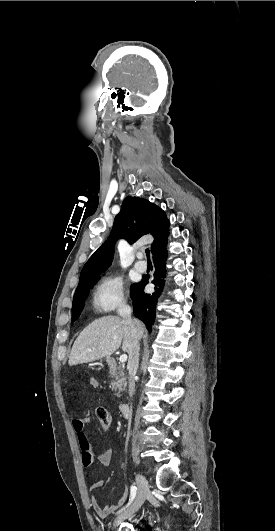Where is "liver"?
Instances as JSON below:
<instances>
[{
  "instance_id": "6515ba94",
  "label": "liver",
  "mask_w": 275,
  "mask_h": 531,
  "mask_svg": "<svg viewBox=\"0 0 275 531\" xmlns=\"http://www.w3.org/2000/svg\"><path fill=\"white\" fill-rule=\"evenodd\" d=\"M134 323L138 339H141L144 325L137 319H134ZM132 341V329L124 319L101 317L85 327L77 337L69 357V365L72 367V365L99 361L102 357H110L119 349L121 343L124 353H128Z\"/></svg>"
}]
</instances>
